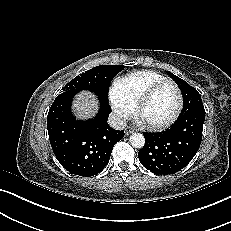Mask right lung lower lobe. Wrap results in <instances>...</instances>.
Instances as JSON below:
<instances>
[{"label": "right lung lower lobe", "mask_w": 231, "mask_h": 231, "mask_svg": "<svg viewBox=\"0 0 231 231\" xmlns=\"http://www.w3.org/2000/svg\"><path fill=\"white\" fill-rule=\"evenodd\" d=\"M76 93L68 90L56 97L48 113L47 129L60 164L72 174L90 177L107 165L112 149L123 138L124 131L108 125L111 108L102 101L96 117L87 121L76 120L70 109Z\"/></svg>", "instance_id": "obj_1"}]
</instances>
